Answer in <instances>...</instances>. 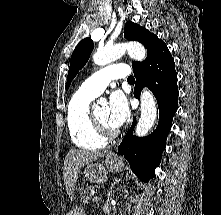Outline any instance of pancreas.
Instances as JSON below:
<instances>
[{
	"mask_svg": "<svg viewBox=\"0 0 221 215\" xmlns=\"http://www.w3.org/2000/svg\"><path fill=\"white\" fill-rule=\"evenodd\" d=\"M93 189H94L93 186H87L86 189L82 192L81 201L84 204L89 203V201L91 199V195L89 194V192L92 191Z\"/></svg>",
	"mask_w": 221,
	"mask_h": 215,
	"instance_id": "cf45deb5",
	"label": "pancreas"
}]
</instances>
